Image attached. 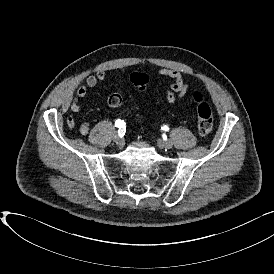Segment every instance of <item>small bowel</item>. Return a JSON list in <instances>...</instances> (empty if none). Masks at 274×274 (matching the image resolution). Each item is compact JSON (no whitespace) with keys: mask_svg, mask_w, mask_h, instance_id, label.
<instances>
[{"mask_svg":"<svg viewBox=\"0 0 274 274\" xmlns=\"http://www.w3.org/2000/svg\"><path fill=\"white\" fill-rule=\"evenodd\" d=\"M157 75L161 79L171 80L168 89L165 91L166 101L172 105L179 104L189 91V83L183 74L179 70L162 67L158 69ZM106 80L107 74L104 70H99L95 74L89 75L86 80L77 87L70 105L71 110L73 112L80 111V100L86 97L88 89H93L100 82H105ZM89 131L90 123L88 121L83 122L80 125V133L86 135Z\"/></svg>","mask_w":274,"mask_h":274,"instance_id":"1","label":"small bowel"}]
</instances>
